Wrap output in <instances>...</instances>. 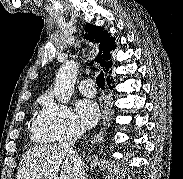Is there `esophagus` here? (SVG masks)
<instances>
[{"label":"esophagus","instance_id":"obj_1","mask_svg":"<svg viewBox=\"0 0 183 179\" xmlns=\"http://www.w3.org/2000/svg\"><path fill=\"white\" fill-rule=\"evenodd\" d=\"M111 119H112V110L107 108L102 118L103 128L100 131V133L94 138L95 142L102 141L104 137V132H106L107 128L110 126Z\"/></svg>","mask_w":183,"mask_h":179}]
</instances>
